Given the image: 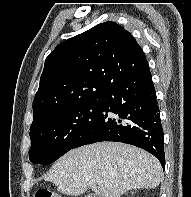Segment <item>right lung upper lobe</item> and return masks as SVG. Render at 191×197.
<instances>
[{
  "label": "right lung upper lobe",
  "mask_w": 191,
  "mask_h": 197,
  "mask_svg": "<svg viewBox=\"0 0 191 197\" xmlns=\"http://www.w3.org/2000/svg\"><path fill=\"white\" fill-rule=\"evenodd\" d=\"M147 66L130 32L112 21L62 42L45 60L31 128L65 109L98 101L108 87Z\"/></svg>",
  "instance_id": "obj_1"
}]
</instances>
